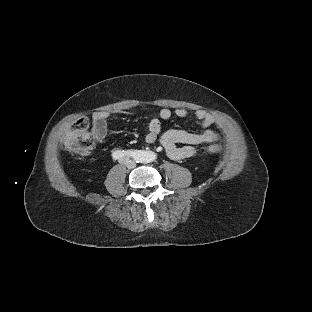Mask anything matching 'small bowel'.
I'll list each match as a JSON object with an SVG mask.
<instances>
[{
  "label": "small bowel",
  "mask_w": 312,
  "mask_h": 312,
  "mask_svg": "<svg viewBox=\"0 0 312 312\" xmlns=\"http://www.w3.org/2000/svg\"><path fill=\"white\" fill-rule=\"evenodd\" d=\"M114 111H100L94 113L91 122V131L97 141H102L107 133V118L114 114ZM127 113V112H122ZM172 114L179 118H185L189 112L184 107H177L173 111L168 107L159 110L158 116L152 118L147 127L145 142L149 145L159 141L167 156L172 160H182L189 158L195 153V146L212 143L217 140L218 135L209 129L214 123L215 118L212 114L202 109L195 111V117L200 122L204 131L191 133L184 130H168L162 133V120H168ZM182 144V146H179Z\"/></svg>",
  "instance_id": "small-bowel-1"
}]
</instances>
